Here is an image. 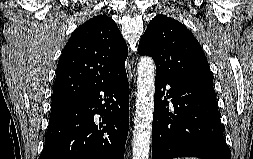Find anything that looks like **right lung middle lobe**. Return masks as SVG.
<instances>
[{
  "label": "right lung middle lobe",
  "instance_id": "dd1d6c3e",
  "mask_svg": "<svg viewBox=\"0 0 253 159\" xmlns=\"http://www.w3.org/2000/svg\"><path fill=\"white\" fill-rule=\"evenodd\" d=\"M69 103H71V102L52 103L51 112L60 110L61 108L65 107Z\"/></svg>",
  "mask_w": 253,
  "mask_h": 159
}]
</instances>
